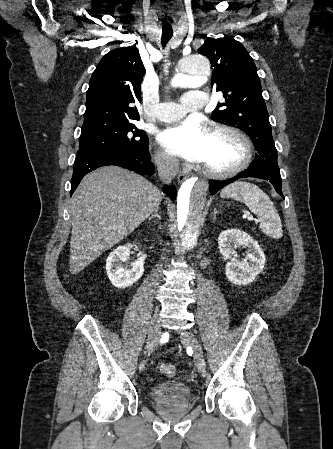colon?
Returning a JSON list of instances; mask_svg holds the SVG:
<instances>
[{
    "label": "colon",
    "instance_id": "1",
    "mask_svg": "<svg viewBox=\"0 0 333 449\" xmlns=\"http://www.w3.org/2000/svg\"><path fill=\"white\" fill-rule=\"evenodd\" d=\"M160 372L164 376L174 377L176 375V373H177V369H176V367L174 365L165 363V364H162L160 366Z\"/></svg>",
    "mask_w": 333,
    "mask_h": 449
}]
</instances>
